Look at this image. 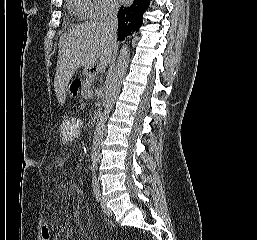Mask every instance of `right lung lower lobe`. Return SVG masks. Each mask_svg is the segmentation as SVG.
Here are the masks:
<instances>
[{"mask_svg": "<svg viewBox=\"0 0 257 240\" xmlns=\"http://www.w3.org/2000/svg\"><path fill=\"white\" fill-rule=\"evenodd\" d=\"M149 0H134L130 7L122 6L118 11V39L124 40L132 31L142 25L143 13L149 7Z\"/></svg>", "mask_w": 257, "mask_h": 240, "instance_id": "1", "label": "right lung lower lobe"}]
</instances>
